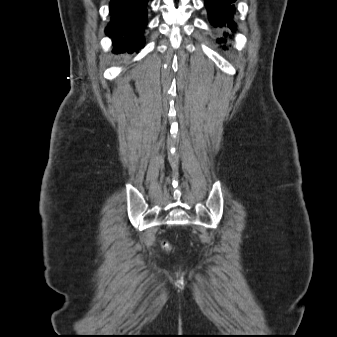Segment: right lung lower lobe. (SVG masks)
Segmentation results:
<instances>
[{"mask_svg": "<svg viewBox=\"0 0 337 337\" xmlns=\"http://www.w3.org/2000/svg\"><path fill=\"white\" fill-rule=\"evenodd\" d=\"M148 0H111V21L106 34L112 38L114 52L137 51L144 47Z\"/></svg>", "mask_w": 337, "mask_h": 337, "instance_id": "1", "label": "right lung lower lobe"}]
</instances>
